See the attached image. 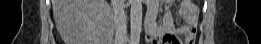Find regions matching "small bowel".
<instances>
[{"label":"small bowel","instance_id":"c3829d8e","mask_svg":"<svg viewBox=\"0 0 261 44\" xmlns=\"http://www.w3.org/2000/svg\"><path fill=\"white\" fill-rule=\"evenodd\" d=\"M158 7V1H152L148 7L147 16L152 20L150 32L147 36L148 41L153 44H193L198 26V9L196 5L180 7L178 15L185 18L186 24L184 26L176 25L175 15L170 8L164 13L162 24L158 25L156 23ZM180 36L182 39L179 38Z\"/></svg>","mask_w":261,"mask_h":44}]
</instances>
